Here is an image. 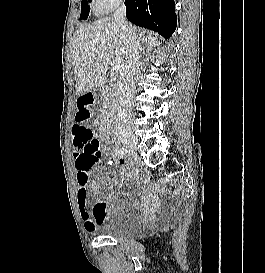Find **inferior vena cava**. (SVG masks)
Wrapping results in <instances>:
<instances>
[{"label":"inferior vena cava","instance_id":"602c4592","mask_svg":"<svg viewBox=\"0 0 265 273\" xmlns=\"http://www.w3.org/2000/svg\"><path fill=\"white\" fill-rule=\"evenodd\" d=\"M114 22L117 24L126 45V60L120 74L119 106L114 130L116 135L131 134V103L135 92L134 78L140 59V45L134 29L126 21V8L123 3L117 7L114 13Z\"/></svg>","mask_w":265,"mask_h":273}]
</instances>
